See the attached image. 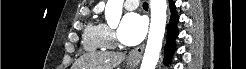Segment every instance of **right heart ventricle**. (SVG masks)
I'll return each instance as SVG.
<instances>
[{
	"instance_id": "obj_1",
	"label": "right heart ventricle",
	"mask_w": 246,
	"mask_h": 69,
	"mask_svg": "<svg viewBox=\"0 0 246 69\" xmlns=\"http://www.w3.org/2000/svg\"><path fill=\"white\" fill-rule=\"evenodd\" d=\"M110 40L105 24L92 22L90 23L83 35V46L87 51L103 50L110 47Z\"/></svg>"
}]
</instances>
